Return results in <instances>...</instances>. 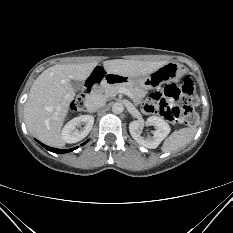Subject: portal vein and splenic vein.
Segmentation results:
<instances>
[{
	"label": "portal vein and splenic vein",
	"mask_w": 233,
	"mask_h": 233,
	"mask_svg": "<svg viewBox=\"0 0 233 233\" xmlns=\"http://www.w3.org/2000/svg\"><path fill=\"white\" fill-rule=\"evenodd\" d=\"M119 92L127 95L129 98H133L132 93L129 90H127V89H122Z\"/></svg>",
	"instance_id": "18ae733b"
}]
</instances>
